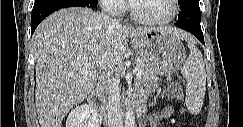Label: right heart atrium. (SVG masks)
<instances>
[{
    "mask_svg": "<svg viewBox=\"0 0 243 127\" xmlns=\"http://www.w3.org/2000/svg\"><path fill=\"white\" fill-rule=\"evenodd\" d=\"M103 10L110 15H118L124 11L123 0H100Z\"/></svg>",
    "mask_w": 243,
    "mask_h": 127,
    "instance_id": "1",
    "label": "right heart atrium"
}]
</instances>
